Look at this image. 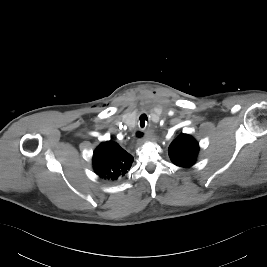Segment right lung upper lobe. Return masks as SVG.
Listing matches in <instances>:
<instances>
[{"label":"right lung upper lobe","instance_id":"cb5924a9","mask_svg":"<svg viewBox=\"0 0 267 267\" xmlns=\"http://www.w3.org/2000/svg\"><path fill=\"white\" fill-rule=\"evenodd\" d=\"M133 157L113 141L102 142L94 151L93 168L104 180L115 181L130 169Z\"/></svg>","mask_w":267,"mask_h":267}]
</instances>
